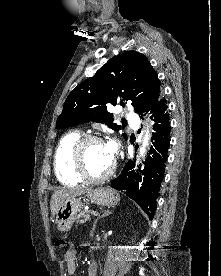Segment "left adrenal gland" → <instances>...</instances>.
Masks as SVG:
<instances>
[{
  "label": "left adrenal gland",
  "instance_id": "1",
  "mask_svg": "<svg viewBox=\"0 0 221 276\" xmlns=\"http://www.w3.org/2000/svg\"><path fill=\"white\" fill-rule=\"evenodd\" d=\"M111 213H112L111 211H108V210H107V211L104 212L103 215L99 216V217L94 221L91 235H93V232L95 231L97 221H98L100 218H103V217H106V216L110 215Z\"/></svg>",
  "mask_w": 221,
  "mask_h": 276
}]
</instances>
